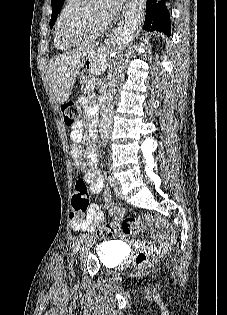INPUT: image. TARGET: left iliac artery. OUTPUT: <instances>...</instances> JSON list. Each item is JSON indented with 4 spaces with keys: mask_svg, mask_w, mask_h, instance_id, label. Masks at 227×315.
Listing matches in <instances>:
<instances>
[{
    "mask_svg": "<svg viewBox=\"0 0 227 315\" xmlns=\"http://www.w3.org/2000/svg\"><path fill=\"white\" fill-rule=\"evenodd\" d=\"M115 178L112 175L108 176V181L111 185H114ZM86 236L81 237L79 240L76 241L75 245L73 246V254H76L80 245L83 243Z\"/></svg>",
    "mask_w": 227,
    "mask_h": 315,
    "instance_id": "obj_1",
    "label": "left iliac artery"
}]
</instances>
